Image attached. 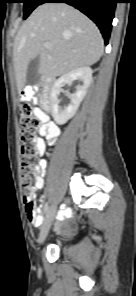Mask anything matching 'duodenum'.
I'll use <instances>...</instances> for the list:
<instances>
[{"mask_svg": "<svg viewBox=\"0 0 136 296\" xmlns=\"http://www.w3.org/2000/svg\"><path fill=\"white\" fill-rule=\"evenodd\" d=\"M53 82H54L53 77H45L40 86V92H41L40 104H41V107L45 110L50 109V102H51L50 91H51Z\"/></svg>", "mask_w": 136, "mask_h": 296, "instance_id": "410a0bca", "label": "duodenum"}]
</instances>
